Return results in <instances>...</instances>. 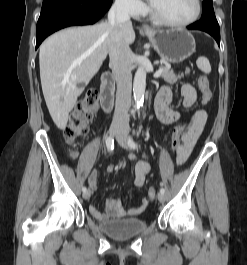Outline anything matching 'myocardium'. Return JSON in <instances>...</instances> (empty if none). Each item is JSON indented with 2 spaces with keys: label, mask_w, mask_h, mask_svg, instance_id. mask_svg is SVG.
Listing matches in <instances>:
<instances>
[{
  "label": "myocardium",
  "mask_w": 247,
  "mask_h": 265,
  "mask_svg": "<svg viewBox=\"0 0 247 265\" xmlns=\"http://www.w3.org/2000/svg\"><path fill=\"white\" fill-rule=\"evenodd\" d=\"M195 4H196V11L194 15L188 20L183 21V22H174V21H171L163 17L150 3L148 4V13L151 16V18L160 25L171 27V28H184V27H188L194 24L195 22H197L202 14V10H203L202 1L195 0Z\"/></svg>",
  "instance_id": "1"
}]
</instances>
